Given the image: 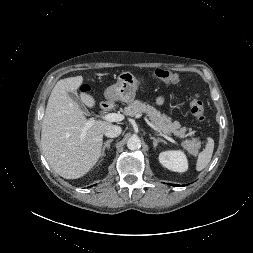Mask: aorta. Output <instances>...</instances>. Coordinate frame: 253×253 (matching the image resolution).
Wrapping results in <instances>:
<instances>
[{
	"instance_id": "aorta-1",
	"label": "aorta",
	"mask_w": 253,
	"mask_h": 253,
	"mask_svg": "<svg viewBox=\"0 0 253 253\" xmlns=\"http://www.w3.org/2000/svg\"><path fill=\"white\" fill-rule=\"evenodd\" d=\"M127 147L130 150H137L141 147V140L137 136H132L127 141Z\"/></svg>"
}]
</instances>
